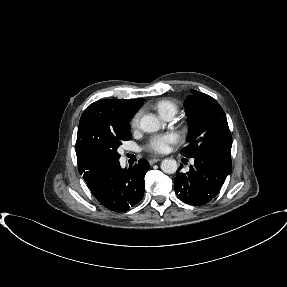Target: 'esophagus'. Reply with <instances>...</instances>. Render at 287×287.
Segmentation results:
<instances>
[{"label": "esophagus", "instance_id": "esophagus-1", "mask_svg": "<svg viewBox=\"0 0 287 287\" xmlns=\"http://www.w3.org/2000/svg\"><path fill=\"white\" fill-rule=\"evenodd\" d=\"M162 160V157H154V158H151L150 160H149V163L151 164V165H153V164H155V163H157V162H159V161H161Z\"/></svg>", "mask_w": 287, "mask_h": 287}]
</instances>
